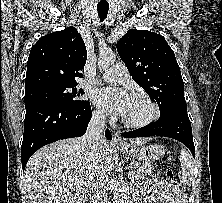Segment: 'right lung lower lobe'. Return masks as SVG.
<instances>
[{
    "instance_id": "obj_1",
    "label": "right lung lower lobe",
    "mask_w": 222,
    "mask_h": 203,
    "mask_svg": "<svg viewBox=\"0 0 222 203\" xmlns=\"http://www.w3.org/2000/svg\"><path fill=\"white\" fill-rule=\"evenodd\" d=\"M91 116L89 102L77 106L41 103L26 108L21 148L22 168L25 169L31 155L42 146L84 135ZM105 136L108 140L112 139L108 129Z\"/></svg>"
}]
</instances>
